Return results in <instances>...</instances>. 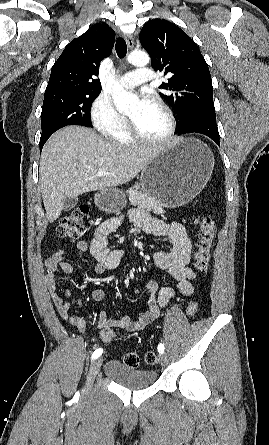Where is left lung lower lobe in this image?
Returning a JSON list of instances; mask_svg holds the SVG:
<instances>
[{"mask_svg":"<svg viewBox=\"0 0 269 445\" xmlns=\"http://www.w3.org/2000/svg\"><path fill=\"white\" fill-rule=\"evenodd\" d=\"M186 133H200L208 136L213 141H215L218 145H220L219 141V132L216 124V118L212 117H204L198 118L194 121L190 122L183 129H179L178 135L186 134Z\"/></svg>","mask_w":269,"mask_h":445,"instance_id":"1","label":"left lung lower lobe"}]
</instances>
